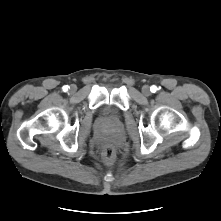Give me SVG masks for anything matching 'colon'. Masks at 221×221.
<instances>
[{"label":"colon","instance_id":"5ec220e1","mask_svg":"<svg viewBox=\"0 0 221 221\" xmlns=\"http://www.w3.org/2000/svg\"><path fill=\"white\" fill-rule=\"evenodd\" d=\"M116 153V147L111 143L104 145L102 149V157L107 163H112L115 160Z\"/></svg>","mask_w":221,"mask_h":221}]
</instances>
